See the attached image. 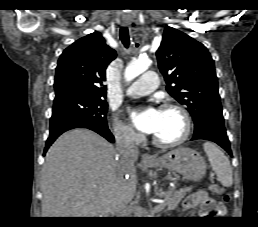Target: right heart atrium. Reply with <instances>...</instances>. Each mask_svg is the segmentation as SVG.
Listing matches in <instances>:
<instances>
[{
    "instance_id": "obj_1",
    "label": "right heart atrium",
    "mask_w": 258,
    "mask_h": 227,
    "mask_svg": "<svg viewBox=\"0 0 258 227\" xmlns=\"http://www.w3.org/2000/svg\"><path fill=\"white\" fill-rule=\"evenodd\" d=\"M112 131L116 141L120 143L136 144L140 138L129 125L119 120L116 116L113 118Z\"/></svg>"
}]
</instances>
